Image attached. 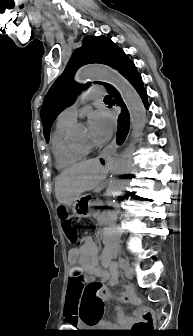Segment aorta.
I'll return each mask as SVG.
<instances>
[{"label": "aorta", "instance_id": "aorta-1", "mask_svg": "<svg viewBox=\"0 0 193 336\" xmlns=\"http://www.w3.org/2000/svg\"><path fill=\"white\" fill-rule=\"evenodd\" d=\"M78 83L88 80H101L113 85L120 93L130 115L133 128V138L137 139L142 135L146 123V110L144 104L135 88L115 69L106 65H87L81 67L75 76ZM78 131L75 130V133ZM133 144L125 149L113 169V177L109 183V205L118 204L117 197L122 194L124 179L132 165Z\"/></svg>", "mask_w": 193, "mask_h": 336}]
</instances>
